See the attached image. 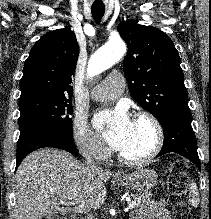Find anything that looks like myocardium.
Segmentation results:
<instances>
[{"label":"myocardium","mask_w":211,"mask_h":219,"mask_svg":"<svg viewBox=\"0 0 211 219\" xmlns=\"http://www.w3.org/2000/svg\"><path fill=\"white\" fill-rule=\"evenodd\" d=\"M135 121H145L153 129L154 142L152 147L145 154L138 157H129L121 152L118 153V159L127 165H141L154 159L162 150L164 144V130L159 120L149 112H139L135 115Z\"/></svg>","instance_id":"obj_1"}]
</instances>
